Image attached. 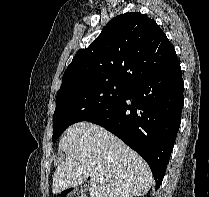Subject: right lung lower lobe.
Returning <instances> with one entry per match:
<instances>
[{
    "instance_id": "right-lung-lower-lobe-1",
    "label": "right lung lower lobe",
    "mask_w": 209,
    "mask_h": 197,
    "mask_svg": "<svg viewBox=\"0 0 209 197\" xmlns=\"http://www.w3.org/2000/svg\"><path fill=\"white\" fill-rule=\"evenodd\" d=\"M183 90L176 57L135 83L122 100L86 120L112 132L141 155L151 168L156 189L162 183L179 130Z\"/></svg>"
}]
</instances>
